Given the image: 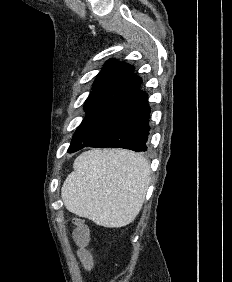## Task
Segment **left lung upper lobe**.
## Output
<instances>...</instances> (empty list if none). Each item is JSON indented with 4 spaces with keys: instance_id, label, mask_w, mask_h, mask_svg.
I'll use <instances>...</instances> for the list:
<instances>
[{
    "instance_id": "1",
    "label": "left lung upper lobe",
    "mask_w": 232,
    "mask_h": 282,
    "mask_svg": "<svg viewBox=\"0 0 232 282\" xmlns=\"http://www.w3.org/2000/svg\"><path fill=\"white\" fill-rule=\"evenodd\" d=\"M133 72V66L118 62L115 59H110L105 63V67L94 81L93 91L85 102L86 117L73 135L70 146L82 144L90 138L99 115L113 95L132 76Z\"/></svg>"
}]
</instances>
